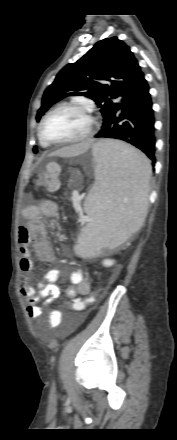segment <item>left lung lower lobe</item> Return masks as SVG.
Returning <instances> with one entry per match:
<instances>
[{"label":"left lung lower lobe","mask_w":177,"mask_h":440,"mask_svg":"<svg viewBox=\"0 0 177 440\" xmlns=\"http://www.w3.org/2000/svg\"><path fill=\"white\" fill-rule=\"evenodd\" d=\"M96 138H115L134 145L152 161L155 158V119L149 86L141 73Z\"/></svg>","instance_id":"obj_1"}]
</instances>
